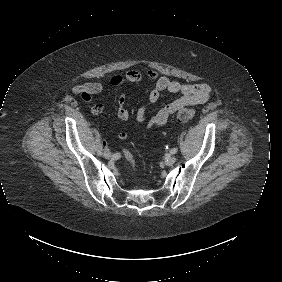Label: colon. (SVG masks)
Here are the masks:
<instances>
[{
	"mask_svg": "<svg viewBox=\"0 0 282 282\" xmlns=\"http://www.w3.org/2000/svg\"><path fill=\"white\" fill-rule=\"evenodd\" d=\"M195 115V110L192 107H183L177 113V118L180 121H188L193 118ZM122 155L127 165L132 169L137 168L136 161L132 155V153L128 149H124L122 151Z\"/></svg>",
	"mask_w": 282,
	"mask_h": 282,
	"instance_id": "colon-1",
	"label": "colon"
}]
</instances>
